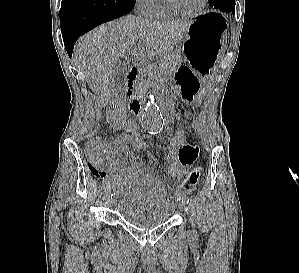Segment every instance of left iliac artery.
Listing matches in <instances>:
<instances>
[{"label": "left iliac artery", "mask_w": 299, "mask_h": 273, "mask_svg": "<svg viewBox=\"0 0 299 273\" xmlns=\"http://www.w3.org/2000/svg\"><path fill=\"white\" fill-rule=\"evenodd\" d=\"M182 202H185L186 204H189L190 199L187 196L182 197Z\"/></svg>", "instance_id": "1"}]
</instances>
